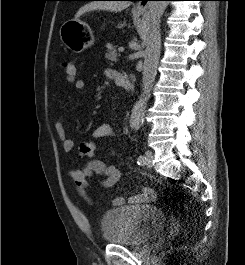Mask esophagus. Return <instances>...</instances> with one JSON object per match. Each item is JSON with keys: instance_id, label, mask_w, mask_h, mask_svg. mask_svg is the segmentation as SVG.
<instances>
[{"instance_id": "34e87169", "label": "esophagus", "mask_w": 245, "mask_h": 265, "mask_svg": "<svg viewBox=\"0 0 245 265\" xmlns=\"http://www.w3.org/2000/svg\"><path fill=\"white\" fill-rule=\"evenodd\" d=\"M147 0H140L134 7L135 11L144 12L147 9Z\"/></svg>"}]
</instances>
